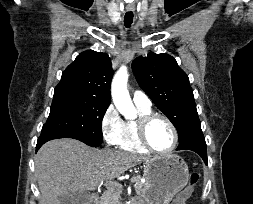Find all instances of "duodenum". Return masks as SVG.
<instances>
[{
  "mask_svg": "<svg viewBox=\"0 0 253 204\" xmlns=\"http://www.w3.org/2000/svg\"><path fill=\"white\" fill-rule=\"evenodd\" d=\"M87 204H98V195L94 193Z\"/></svg>",
  "mask_w": 253,
  "mask_h": 204,
  "instance_id": "obj_1",
  "label": "duodenum"
}]
</instances>
